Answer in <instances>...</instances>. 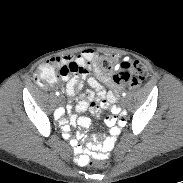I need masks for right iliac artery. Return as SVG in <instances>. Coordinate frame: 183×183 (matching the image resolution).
<instances>
[{"instance_id":"right-iliac-artery-1","label":"right iliac artery","mask_w":183,"mask_h":183,"mask_svg":"<svg viewBox=\"0 0 183 183\" xmlns=\"http://www.w3.org/2000/svg\"><path fill=\"white\" fill-rule=\"evenodd\" d=\"M56 95L58 96V95H59V92H56ZM60 114H61L60 110H57V111L54 113V116H55L56 118H59Z\"/></svg>"}]
</instances>
